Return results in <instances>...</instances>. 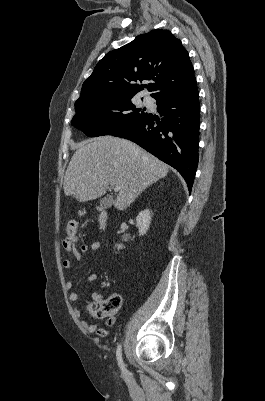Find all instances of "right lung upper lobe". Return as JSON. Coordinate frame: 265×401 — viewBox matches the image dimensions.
I'll use <instances>...</instances> for the list:
<instances>
[{"label": "right lung upper lobe", "instance_id": "right-lung-upper-lobe-1", "mask_svg": "<svg viewBox=\"0 0 265 401\" xmlns=\"http://www.w3.org/2000/svg\"><path fill=\"white\" fill-rule=\"evenodd\" d=\"M153 80L151 96L173 94L196 82L188 52L168 30L157 29L137 36L129 44L107 53L83 83L75 106L103 96L133 97Z\"/></svg>", "mask_w": 265, "mask_h": 401}]
</instances>
